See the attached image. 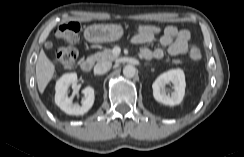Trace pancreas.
Instances as JSON below:
<instances>
[{"mask_svg": "<svg viewBox=\"0 0 244 157\" xmlns=\"http://www.w3.org/2000/svg\"><path fill=\"white\" fill-rule=\"evenodd\" d=\"M93 59H95L96 61L100 62V61H113L118 59V56L113 54L111 49L105 48L103 51L98 52L94 55L91 56ZM167 62H169L170 60L167 59ZM173 64H179L181 63V61L179 59H174L172 60Z\"/></svg>", "mask_w": 244, "mask_h": 157, "instance_id": "obj_1", "label": "pancreas"}]
</instances>
